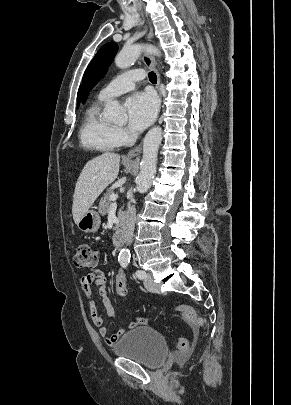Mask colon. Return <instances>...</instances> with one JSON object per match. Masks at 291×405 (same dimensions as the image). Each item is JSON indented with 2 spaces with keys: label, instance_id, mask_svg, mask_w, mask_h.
Listing matches in <instances>:
<instances>
[{
  "label": "colon",
  "instance_id": "1",
  "mask_svg": "<svg viewBox=\"0 0 291 405\" xmlns=\"http://www.w3.org/2000/svg\"><path fill=\"white\" fill-rule=\"evenodd\" d=\"M97 256L93 248L88 243H79L75 248L73 263L75 267L80 269H94L97 265ZM115 290L119 296L127 294V283L123 272L119 271L115 278ZM186 322L190 325L205 330V321L198 316L196 311L187 305H179L176 308ZM176 348L184 351L188 348V341L186 338H178L176 341Z\"/></svg>",
  "mask_w": 291,
  "mask_h": 405
}]
</instances>
